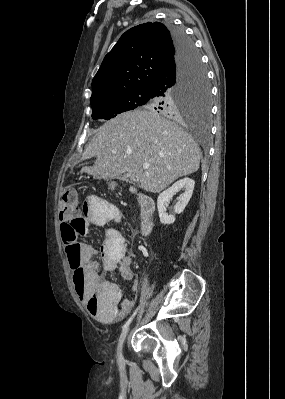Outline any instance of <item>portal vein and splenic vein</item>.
Segmentation results:
<instances>
[{"mask_svg": "<svg viewBox=\"0 0 285 399\" xmlns=\"http://www.w3.org/2000/svg\"><path fill=\"white\" fill-rule=\"evenodd\" d=\"M149 167H150V166H149L148 163H144V164H143V169L147 170V169H149Z\"/></svg>", "mask_w": 285, "mask_h": 399, "instance_id": "portal-vein-and-splenic-vein-1", "label": "portal vein and splenic vein"}]
</instances>
